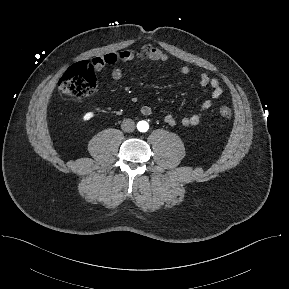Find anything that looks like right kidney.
Returning <instances> with one entry per match:
<instances>
[{"mask_svg":"<svg viewBox=\"0 0 289 289\" xmlns=\"http://www.w3.org/2000/svg\"><path fill=\"white\" fill-rule=\"evenodd\" d=\"M94 117V113L93 112H87V113H85V115L83 116V120L84 121H88V120H90L91 118H93Z\"/></svg>","mask_w":289,"mask_h":289,"instance_id":"right-kidney-1","label":"right kidney"}]
</instances>
